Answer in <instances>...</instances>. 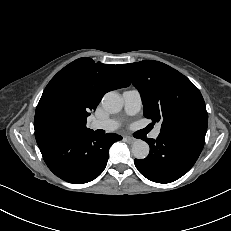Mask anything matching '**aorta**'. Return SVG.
<instances>
[{"instance_id":"762f6f07","label":"aorta","mask_w":231,"mask_h":231,"mask_svg":"<svg viewBox=\"0 0 231 231\" xmlns=\"http://www.w3.org/2000/svg\"><path fill=\"white\" fill-rule=\"evenodd\" d=\"M102 106L109 113H118L122 109L123 100L118 93L111 91L104 95ZM149 151L148 143L143 140H136L132 145V154L136 159H145Z\"/></svg>"}]
</instances>
